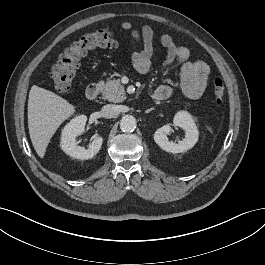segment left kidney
<instances>
[{"instance_id": "5707ae66", "label": "left kidney", "mask_w": 265, "mask_h": 265, "mask_svg": "<svg viewBox=\"0 0 265 265\" xmlns=\"http://www.w3.org/2000/svg\"><path fill=\"white\" fill-rule=\"evenodd\" d=\"M173 125L185 131V137L179 143H173L168 140L167 135L171 131L170 125H164L155 132V142L160 148L173 154L191 149L197 143L199 137V132L192 116L187 111H179L174 116Z\"/></svg>"}]
</instances>
